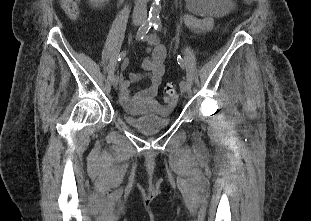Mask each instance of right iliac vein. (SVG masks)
<instances>
[{
    "instance_id": "1",
    "label": "right iliac vein",
    "mask_w": 311,
    "mask_h": 221,
    "mask_svg": "<svg viewBox=\"0 0 311 221\" xmlns=\"http://www.w3.org/2000/svg\"><path fill=\"white\" fill-rule=\"evenodd\" d=\"M134 24L136 25V26H139L140 24H141V22L140 21H135L134 22ZM119 76L118 75H115L114 77H113V79H112V84H113V87L114 88H117V86H118V84H119Z\"/></svg>"
}]
</instances>
